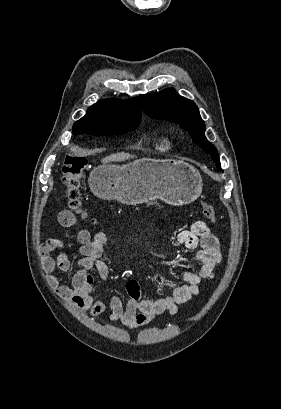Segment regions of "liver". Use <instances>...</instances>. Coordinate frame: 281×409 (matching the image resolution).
<instances>
[{
	"label": "liver",
	"instance_id": "liver-1",
	"mask_svg": "<svg viewBox=\"0 0 281 409\" xmlns=\"http://www.w3.org/2000/svg\"><path fill=\"white\" fill-rule=\"evenodd\" d=\"M134 154H128V152H117V154H110L102 158V162H110V160H127V158H133Z\"/></svg>",
	"mask_w": 281,
	"mask_h": 409
}]
</instances>
